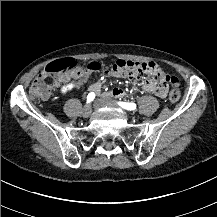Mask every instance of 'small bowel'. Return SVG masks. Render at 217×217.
I'll return each instance as SVG.
<instances>
[{
	"mask_svg": "<svg viewBox=\"0 0 217 217\" xmlns=\"http://www.w3.org/2000/svg\"><path fill=\"white\" fill-rule=\"evenodd\" d=\"M106 75L107 77L111 78H122L124 77L120 73L117 72H111L107 71L105 72V69L100 66L94 59H89L86 62L85 68H79L75 73H72L70 75H61L59 77V82L64 83L67 82L69 79L77 80V87H80L83 85L85 80L89 77L94 75L95 77H102L103 75ZM144 88L148 91H150L152 94L162 97L165 94V89L163 87H156L152 81H148L145 83ZM128 94V91L123 88H113L110 91V95L113 97H123Z\"/></svg>",
	"mask_w": 217,
	"mask_h": 217,
	"instance_id": "obj_1",
	"label": "small bowel"
}]
</instances>
